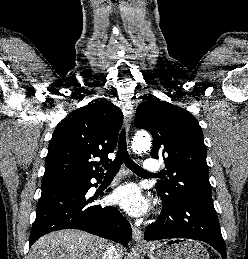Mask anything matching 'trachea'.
<instances>
[{"mask_svg":"<svg viewBox=\"0 0 248 259\" xmlns=\"http://www.w3.org/2000/svg\"><path fill=\"white\" fill-rule=\"evenodd\" d=\"M125 163V165L134 173L136 174H144V175H150V173L146 172L143 168L138 166L129 156L127 152V145H126V138H125V130H122L120 137H119V144H118V151L117 155L113 162L105 164L104 168L107 171V175H115L119 169L122 163Z\"/></svg>","mask_w":248,"mask_h":259,"instance_id":"3493384b","label":"trachea"}]
</instances>
